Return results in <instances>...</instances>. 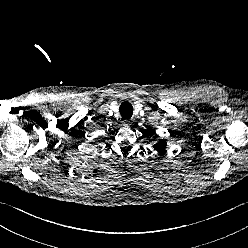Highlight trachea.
<instances>
[{"instance_id":"obj_1","label":"trachea","mask_w":248,"mask_h":248,"mask_svg":"<svg viewBox=\"0 0 248 248\" xmlns=\"http://www.w3.org/2000/svg\"><path fill=\"white\" fill-rule=\"evenodd\" d=\"M119 110L123 119H130L132 117L133 107L128 101L122 102Z\"/></svg>"}]
</instances>
